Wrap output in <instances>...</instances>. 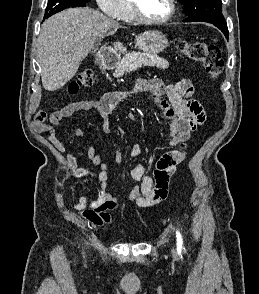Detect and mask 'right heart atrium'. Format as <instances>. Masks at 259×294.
<instances>
[{"instance_id":"d8ad5b80","label":"right heart atrium","mask_w":259,"mask_h":294,"mask_svg":"<svg viewBox=\"0 0 259 294\" xmlns=\"http://www.w3.org/2000/svg\"><path fill=\"white\" fill-rule=\"evenodd\" d=\"M96 2L103 14L115 19H120L125 9V0H96Z\"/></svg>"}]
</instances>
